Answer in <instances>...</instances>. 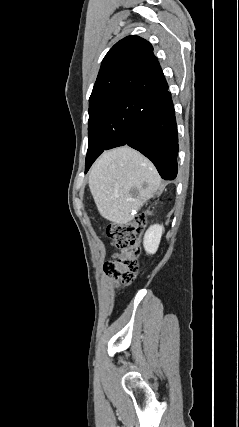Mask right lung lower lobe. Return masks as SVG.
I'll return each mask as SVG.
<instances>
[{
  "label": "right lung lower lobe",
  "instance_id": "1",
  "mask_svg": "<svg viewBox=\"0 0 239 427\" xmlns=\"http://www.w3.org/2000/svg\"><path fill=\"white\" fill-rule=\"evenodd\" d=\"M149 158L165 180L176 178L178 133L175 111L168 89L145 98L141 110L133 118L126 141Z\"/></svg>",
  "mask_w": 239,
  "mask_h": 427
}]
</instances>
